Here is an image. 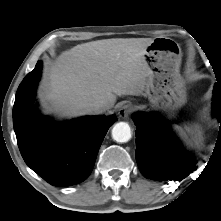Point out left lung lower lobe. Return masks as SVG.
Wrapping results in <instances>:
<instances>
[{
    "label": "left lung lower lobe",
    "instance_id": "0a47b994",
    "mask_svg": "<svg viewBox=\"0 0 221 221\" xmlns=\"http://www.w3.org/2000/svg\"><path fill=\"white\" fill-rule=\"evenodd\" d=\"M212 114L220 121L221 85L215 84ZM136 161L141 173L158 181H181L196 169V161L172 133L169 124L158 114L135 113ZM219 129V130H220ZM221 143V137L217 138Z\"/></svg>",
    "mask_w": 221,
    "mask_h": 221
}]
</instances>
